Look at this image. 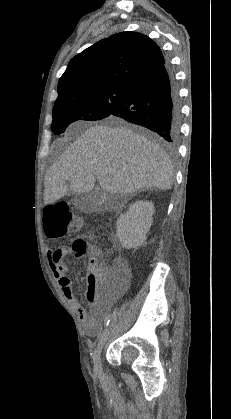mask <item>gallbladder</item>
I'll list each match as a JSON object with an SVG mask.
<instances>
[{
    "mask_svg": "<svg viewBox=\"0 0 231 419\" xmlns=\"http://www.w3.org/2000/svg\"><path fill=\"white\" fill-rule=\"evenodd\" d=\"M86 195H77L74 199L75 203L80 204L82 201V197H85Z\"/></svg>",
    "mask_w": 231,
    "mask_h": 419,
    "instance_id": "bac80fb5",
    "label": "gallbladder"
}]
</instances>
